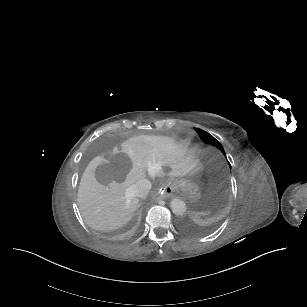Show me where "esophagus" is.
I'll return each mask as SVG.
<instances>
[{"instance_id": "34e87169", "label": "esophagus", "mask_w": 307, "mask_h": 307, "mask_svg": "<svg viewBox=\"0 0 307 307\" xmlns=\"http://www.w3.org/2000/svg\"><path fill=\"white\" fill-rule=\"evenodd\" d=\"M164 192H163V196L164 197H170L172 196V192H173V187L170 183H166L163 186Z\"/></svg>"}]
</instances>
